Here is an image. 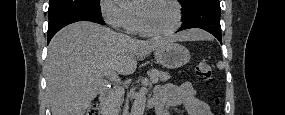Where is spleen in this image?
<instances>
[{
	"instance_id": "1",
	"label": "spleen",
	"mask_w": 285,
	"mask_h": 115,
	"mask_svg": "<svg viewBox=\"0 0 285 115\" xmlns=\"http://www.w3.org/2000/svg\"><path fill=\"white\" fill-rule=\"evenodd\" d=\"M217 68H218V69H223V68H224V65H223V63H222L221 61H219V62L217 63Z\"/></svg>"
}]
</instances>
